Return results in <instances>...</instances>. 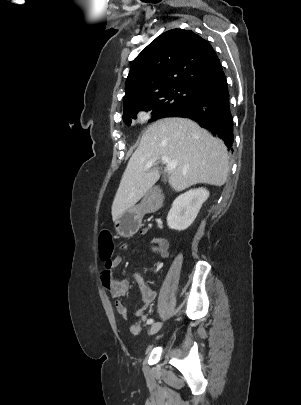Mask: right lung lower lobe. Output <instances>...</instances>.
<instances>
[{"instance_id": "right-lung-lower-lobe-1", "label": "right lung lower lobe", "mask_w": 301, "mask_h": 405, "mask_svg": "<svg viewBox=\"0 0 301 405\" xmlns=\"http://www.w3.org/2000/svg\"><path fill=\"white\" fill-rule=\"evenodd\" d=\"M168 117H186L196 121L201 127L221 138L228 149L232 150L234 123L226 78L202 92L192 103L173 111Z\"/></svg>"}]
</instances>
